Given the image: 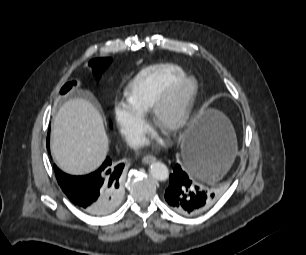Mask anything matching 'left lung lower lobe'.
Masks as SVG:
<instances>
[{"mask_svg": "<svg viewBox=\"0 0 306 255\" xmlns=\"http://www.w3.org/2000/svg\"><path fill=\"white\" fill-rule=\"evenodd\" d=\"M223 153L222 150L195 142L189 144L184 152L185 164L182 168L178 164L174 167L165 192V200L174 211L193 216L202 213L214 203V193L194 186L189 174L192 171L213 172Z\"/></svg>", "mask_w": 306, "mask_h": 255, "instance_id": "obj_1", "label": "left lung lower lobe"}]
</instances>
